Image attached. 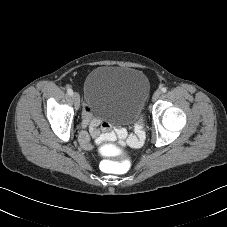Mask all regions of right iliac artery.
Wrapping results in <instances>:
<instances>
[{"label":"right iliac artery","mask_w":227,"mask_h":227,"mask_svg":"<svg viewBox=\"0 0 227 227\" xmlns=\"http://www.w3.org/2000/svg\"><path fill=\"white\" fill-rule=\"evenodd\" d=\"M67 93H68L70 96H72V95H73V90H72L71 88H68V89H67Z\"/></svg>","instance_id":"82829eb1"}]
</instances>
